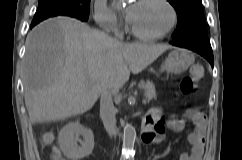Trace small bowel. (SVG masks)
Returning a JSON list of instances; mask_svg holds the SVG:
<instances>
[{
  "label": "small bowel",
  "mask_w": 242,
  "mask_h": 160,
  "mask_svg": "<svg viewBox=\"0 0 242 160\" xmlns=\"http://www.w3.org/2000/svg\"><path fill=\"white\" fill-rule=\"evenodd\" d=\"M188 118H190L195 125L194 131L188 138L191 144V152L183 153L179 160H202L204 152L205 120L201 114L195 112H191ZM183 128L184 120L179 117H172L163 125V131H159L155 128L154 117L147 115L142 120V142L146 144H160L164 139V132L167 129L173 132H181Z\"/></svg>",
  "instance_id": "1"
}]
</instances>
